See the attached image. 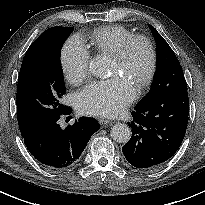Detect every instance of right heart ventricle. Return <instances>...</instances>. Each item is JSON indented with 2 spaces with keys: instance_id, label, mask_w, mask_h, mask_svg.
I'll return each mask as SVG.
<instances>
[{
  "instance_id": "1",
  "label": "right heart ventricle",
  "mask_w": 205,
  "mask_h": 205,
  "mask_svg": "<svg viewBox=\"0 0 205 205\" xmlns=\"http://www.w3.org/2000/svg\"><path fill=\"white\" fill-rule=\"evenodd\" d=\"M135 34L121 25H111L96 29L89 36V43L98 54H114L123 43Z\"/></svg>"
}]
</instances>
